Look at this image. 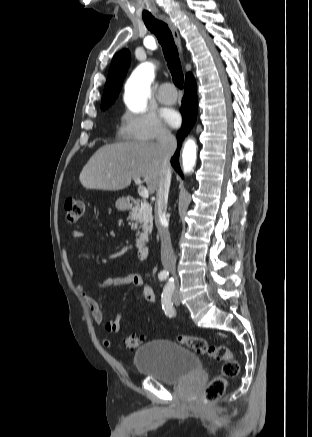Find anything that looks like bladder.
<instances>
[{
  "mask_svg": "<svg viewBox=\"0 0 312 437\" xmlns=\"http://www.w3.org/2000/svg\"><path fill=\"white\" fill-rule=\"evenodd\" d=\"M134 365L139 374L171 385L202 373L196 353L166 339L152 340L139 347L134 354Z\"/></svg>",
  "mask_w": 312,
  "mask_h": 437,
  "instance_id": "1",
  "label": "bladder"
}]
</instances>
